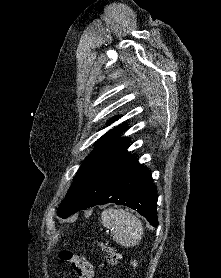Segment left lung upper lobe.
Wrapping results in <instances>:
<instances>
[{"label":"left lung upper lobe","instance_id":"obj_1","mask_svg":"<svg viewBox=\"0 0 221 278\" xmlns=\"http://www.w3.org/2000/svg\"><path fill=\"white\" fill-rule=\"evenodd\" d=\"M118 119L114 117L110 122ZM127 129L123 123L109 130L96 143L94 150L86 157L73 179L65 199L58 208V215L66 218L72 212L74 205L89 185L95 175L108 164L121 151L125 150L129 143L127 138H118Z\"/></svg>","mask_w":221,"mask_h":278}]
</instances>
